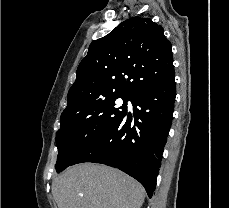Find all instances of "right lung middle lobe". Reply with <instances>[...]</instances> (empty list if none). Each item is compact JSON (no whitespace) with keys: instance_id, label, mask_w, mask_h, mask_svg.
Segmentation results:
<instances>
[{"instance_id":"1","label":"right lung middle lobe","mask_w":229,"mask_h":208,"mask_svg":"<svg viewBox=\"0 0 229 208\" xmlns=\"http://www.w3.org/2000/svg\"><path fill=\"white\" fill-rule=\"evenodd\" d=\"M118 98L123 99L120 107L115 106ZM130 99L124 96L100 99L61 118V128L56 134L59 152L56 171L59 173L70 166L86 146L113 127L127 111Z\"/></svg>"}]
</instances>
